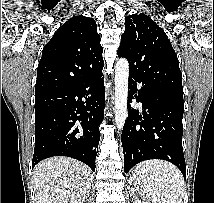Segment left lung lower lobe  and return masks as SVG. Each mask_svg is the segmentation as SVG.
Masks as SVG:
<instances>
[{
    "label": "left lung lower lobe",
    "mask_w": 214,
    "mask_h": 203,
    "mask_svg": "<svg viewBox=\"0 0 214 203\" xmlns=\"http://www.w3.org/2000/svg\"><path fill=\"white\" fill-rule=\"evenodd\" d=\"M137 84L142 87L137 93ZM142 102V114L129 106L121 141L124 171L149 159H162L176 165L186 177L182 147L183 94L147 85L129 75L128 99Z\"/></svg>",
    "instance_id": "1"
}]
</instances>
